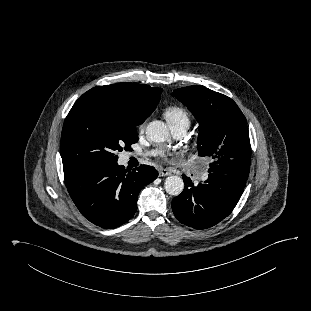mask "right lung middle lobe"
<instances>
[{"label":"right lung middle lobe","instance_id":"right-lung-middle-lobe-1","mask_svg":"<svg viewBox=\"0 0 311 311\" xmlns=\"http://www.w3.org/2000/svg\"><path fill=\"white\" fill-rule=\"evenodd\" d=\"M141 123L133 107L114 94L87 91L64 121L60 143L63 165L117 162V153L138 141L136 126Z\"/></svg>","mask_w":311,"mask_h":311}]
</instances>
